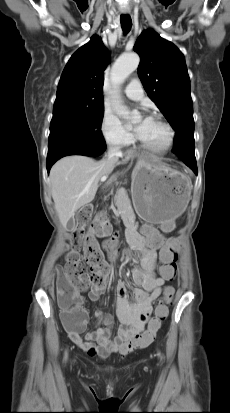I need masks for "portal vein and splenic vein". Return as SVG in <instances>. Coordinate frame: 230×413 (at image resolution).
<instances>
[{"instance_id":"portal-vein-and-splenic-vein-1","label":"portal vein and splenic vein","mask_w":230,"mask_h":413,"mask_svg":"<svg viewBox=\"0 0 230 413\" xmlns=\"http://www.w3.org/2000/svg\"><path fill=\"white\" fill-rule=\"evenodd\" d=\"M100 180H101V182L106 181V180H107V176H102Z\"/></svg>"}]
</instances>
